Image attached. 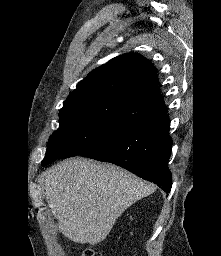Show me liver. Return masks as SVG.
<instances>
[{"label": "liver", "mask_w": 221, "mask_h": 256, "mask_svg": "<svg viewBox=\"0 0 221 256\" xmlns=\"http://www.w3.org/2000/svg\"><path fill=\"white\" fill-rule=\"evenodd\" d=\"M44 178L58 230L71 241L90 245L103 241L130 205L155 190L120 167L80 157L52 166Z\"/></svg>", "instance_id": "6515ba94"}]
</instances>
